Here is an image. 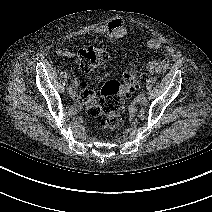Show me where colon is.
<instances>
[{
	"label": "colon",
	"mask_w": 212,
	"mask_h": 212,
	"mask_svg": "<svg viewBox=\"0 0 212 212\" xmlns=\"http://www.w3.org/2000/svg\"><path fill=\"white\" fill-rule=\"evenodd\" d=\"M109 54L104 47H86L79 52L80 68L90 71L103 65L108 60ZM142 79V74L136 66L126 71L121 80L111 79L106 81L96 99L95 92L88 90L86 96L81 99L87 114L96 118L102 116L103 126L109 130L117 129L121 124V117L125 109L127 98L131 90Z\"/></svg>",
	"instance_id": "obj_1"
}]
</instances>
